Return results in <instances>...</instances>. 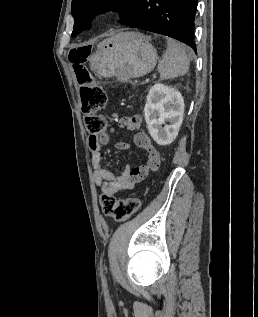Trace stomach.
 Instances as JSON below:
<instances>
[{
  "label": "stomach",
  "mask_w": 258,
  "mask_h": 317,
  "mask_svg": "<svg viewBox=\"0 0 258 317\" xmlns=\"http://www.w3.org/2000/svg\"><path fill=\"white\" fill-rule=\"evenodd\" d=\"M89 62L101 76L137 78L153 70L157 50L141 32H118L97 44Z\"/></svg>",
  "instance_id": "obj_1"
}]
</instances>
